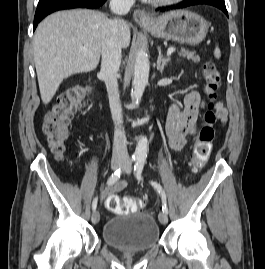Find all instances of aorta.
I'll return each instance as SVG.
<instances>
[{
	"label": "aorta",
	"mask_w": 265,
	"mask_h": 269,
	"mask_svg": "<svg viewBox=\"0 0 265 269\" xmlns=\"http://www.w3.org/2000/svg\"><path fill=\"white\" fill-rule=\"evenodd\" d=\"M149 78V60L145 49L141 48L136 55L134 65V76L132 81V102L138 105L143 95ZM148 152V141L146 137H140L135 150L137 158H146Z\"/></svg>",
	"instance_id": "762f6f07"
}]
</instances>
